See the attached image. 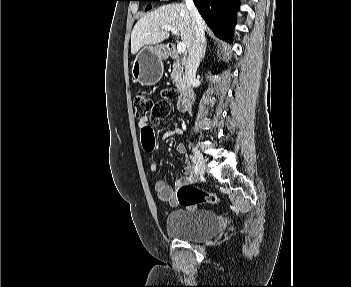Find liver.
<instances>
[{"instance_id": "liver-1", "label": "liver", "mask_w": 351, "mask_h": 287, "mask_svg": "<svg viewBox=\"0 0 351 287\" xmlns=\"http://www.w3.org/2000/svg\"><path fill=\"white\" fill-rule=\"evenodd\" d=\"M203 22L204 30L207 29ZM165 26L176 28L189 52L194 40L192 17L184 3L163 5L147 13L135 24L131 33V53L136 54L142 47L155 45L168 39L170 34Z\"/></svg>"}]
</instances>
